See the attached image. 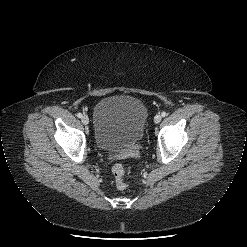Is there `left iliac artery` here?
<instances>
[{
    "label": "left iliac artery",
    "instance_id": "44dca946",
    "mask_svg": "<svg viewBox=\"0 0 247 247\" xmlns=\"http://www.w3.org/2000/svg\"><path fill=\"white\" fill-rule=\"evenodd\" d=\"M162 116L163 117L167 116V113L166 112H162Z\"/></svg>",
    "mask_w": 247,
    "mask_h": 247
}]
</instances>
